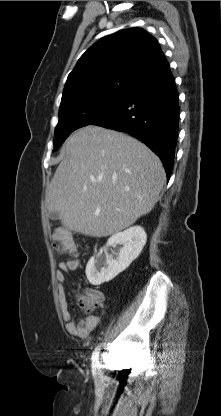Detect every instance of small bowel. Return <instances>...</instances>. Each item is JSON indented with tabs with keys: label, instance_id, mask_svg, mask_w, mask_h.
Instances as JSON below:
<instances>
[{
	"label": "small bowel",
	"instance_id": "small-bowel-1",
	"mask_svg": "<svg viewBox=\"0 0 221 416\" xmlns=\"http://www.w3.org/2000/svg\"><path fill=\"white\" fill-rule=\"evenodd\" d=\"M80 266V260L73 259L67 261H60L58 263V270L56 272V282H57V292H58V300L60 304L62 318L66 324V329L68 333L72 336L79 337L82 339L88 338L90 333L96 329L98 326L100 319L99 317L92 315L85 318L80 319L79 321H75L72 318L71 312L69 310V304L67 300L66 290H65V280H66V273L69 271H75ZM101 296V293L95 291Z\"/></svg>",
	"mask_w": 221,
	"mask_h": 416
}]
</instances>
